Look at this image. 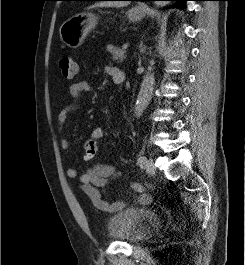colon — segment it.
<instances>
[{"mask_svg":"<svg viewBox=\"0 0 245 265\" xmlns=\"http://www.w3.org/2000/svg\"><path fill=\"white\" fill-rule=\"evenodd\" d=\"M59 68L61 70L62 75L66 79H72L75 77L77 73V64L71 57H62L59 60ZM84 160L89 163L95 159L98 146L97 143L92 141H87L84 144Z\"/></svg>","mask_w":245,"mask_h":265,"instance_id":"5ec220e1","label":"colon"}]
</instances>
